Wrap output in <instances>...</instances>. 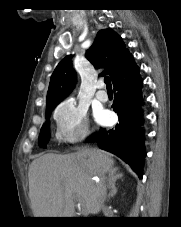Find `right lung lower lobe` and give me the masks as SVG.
Masks as SVG:
<instances>
[{"mask_svg":"<svg viewBox=\"0 0 181 227\" xmlns=\"http://www.w3.org/2000/svg\"><path fill=\"white\" fill-rule=\"evenodd\" d=\"M112 83L117 92L112 107L118 114L119 123L111 130L100 128L88 141L96 142L101 149L119 156L141 178L146 156L140 113V106L143 104L142 80L139 67L135 64L131 54L126 57L120 72Z\"/></svg>","mask_w":181,"mask_h":227,"instance_id":"obj_1","label":"right lung lower lobe"}]
</instances>
